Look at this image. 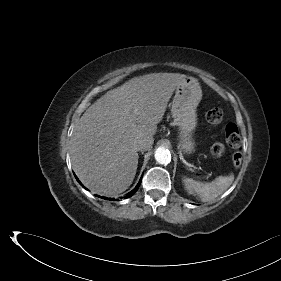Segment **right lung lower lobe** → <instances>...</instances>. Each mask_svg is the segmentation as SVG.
Segmentation results:
<instances>
[{"instance_id": "right-lung-lower-lobe-1", "label": "right lung lower lobe", "mask_w": 281, "mask_h": 281, "mask_svg": "<svg viewBox=\"0 0 281 281\" xmlns=\"http://www.w3.org/2000/svg\"><path fill=\"white\" fill-rule=\"evenodd\" d=\"M75 177H76L77 181L81 184V182L79 181V179L77 178V176H75ZM141 179H142V178H141ZM141 179H140L139 183L137 184V186H136L132 191H130V192L128 193V195L126 196V198H127V197H131L132 195H134V193H136V191L138 190V188H139V186H140V184H141ZM81 185H82V184H81ZM84 188H85V187H84ZM96 196H98V195H96ZM98 197L103 198V199H107V200L118 201L117 199H111V198H106V197H101V196H98Z\"/></svg>"}]
</instances>
